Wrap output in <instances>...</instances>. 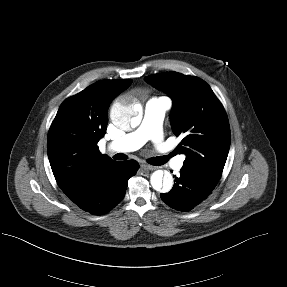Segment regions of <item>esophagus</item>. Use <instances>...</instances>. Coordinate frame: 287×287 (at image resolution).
<instances>
[{
    "label": "esophagus",
    "instance_id": "1",
    "mask_svg": "<svg viewBox=\"0 0 287 287\" xmlns=\"http://www.w3.org/2000/svg\"><path fill=\"white\" fill-rule=\"evenodd\" d=\"M141 167H142L144 170H155V169H156L155 166L149 165V164H147V163H143V164L141 165Z\"/></svg>",
    "mask_w": 287,
    "mask_h": 287
}]
</instances>
